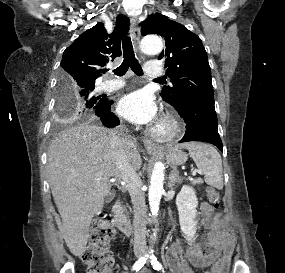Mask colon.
<instances>
[{"instance_id":"5ec220e1","label":"colon","mask_w":285,"mask_h":273,"mask_svg":"<svg viewBox=\"0 0 285 273\" xmlns=\"http://www.w3.org/2000/svg\"><path fill=\"white\" fill-rule=\"evenodd\" d=\"M207 198L218 208L220 193L215 188L207 190ZM114 236V230L110 226L109 219H98L91 230L87 247L82 253V260L87 267V273H111L114 260L110 251V243ZM205 273H213L207 270Z\"/></svg>"}]
</instances>
